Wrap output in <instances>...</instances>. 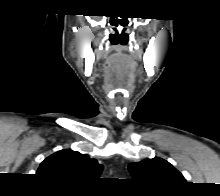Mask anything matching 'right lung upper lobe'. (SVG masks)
<instances>
[{"label":"right lung upper lobe","mask_w":220,"mask_h":196,"mask_svg":"<svg viewBox=\"0 0 220 196\" xmlns=\"http://www.w3.org/2000/svg\"><path fill=\"white\" fill-rule=\"evenodd\" d=\"M102 169L103 166L95 159L80 152L65 149L47 157L36 174L54 182L88 185L98 179Z\"/></svg>","instance_id":"cb5924a9"}]
</instances>
